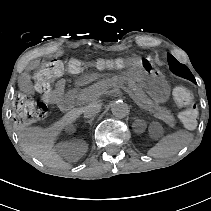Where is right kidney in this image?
<instances>
[{"label":"right kidney","mask_w":211,"mask_h":211,"mask_svg":"<svg viewBox=\"0 0 211 211\" xmlns=\"http://www.w3.org/2000/svg\"><path fill=\"white\" fill-rule=\"evenodd\" d=\"M66 130H67L68 132H72V133L76 131L75 126H74L73 124H71V123H68V124L66 125Z\"/></svg>","instance_id":"obj_1"}]
</instances>
